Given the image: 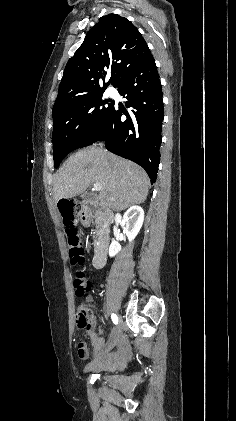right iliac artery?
<instances>
[{
    "label": "right iliac artery",
    "mask_w": 236,
    "mask_h": 421,
    "mask_svg": "<svg viewBox=\"0 0 236 421\" xmlns=\"http://www.w3.org/2000/svg\"><path fill=\"white\" fill-rule=\"evenodd\" d=\"M111 318L114 324H118V317L116 314L112 313Z\"/></svg>",
    "instance_id": "right-iliac-artery-1"
}]
</instances>
